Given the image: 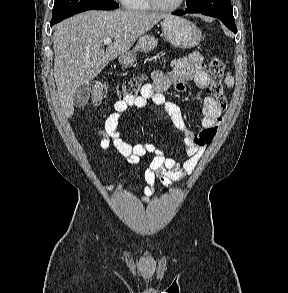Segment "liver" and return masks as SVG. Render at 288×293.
I'll list each match as a JSON object with an SVG mask.
<instances>
[{"label":"liver","mask_w":288,"mask_h":293,"mask_svg":"<svg viewBox=\"0 0 288 293\" xmlns=\"http://www.w3.org/2000/svg\"><path fill=\"white\" fill-rule=\"evenodd\" d=\"M168 15L132 10H90L54 26V77L66 117L74 113L73 97L109 63L127 53L138 37ZM112 38L104 50V39Z\"/></svg>","instance_id":"1"}]
</instances>
